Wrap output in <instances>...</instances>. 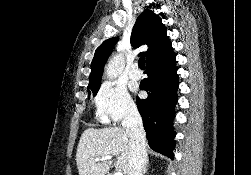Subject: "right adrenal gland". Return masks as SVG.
<instances>
[{
  "label": "right adrenal gland",
  "instance_id": "1",
  "mask_svg": "<svg viewBox=\"0 0 251 175\" xmlns=\"http://www.w3.org/2000/svg\"><path fill=\"white\" fill-rule=\"evenodd\" d=\"M147 169H148V165H145V167H143V173H146Z\"/></svg>",
  "mask_w": 251,
  "mask_h": 175
}]
</instances>
